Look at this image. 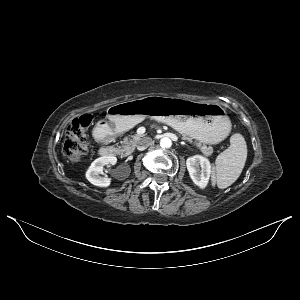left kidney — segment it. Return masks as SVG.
<instances>
[{
	"instance_id": "obj_1",
	"label": "left kidney",
	"mask_w": 300,
	"mask_h": 300,
	"mask_svg": "<svg viewBox=\"0 0 300 300\" xmlns=\"http://www.w3.org/2000/svg\"><path fill=\"white\" fill-rule=\"evenodd\" d=\"M186 165L192 181L200 188H205L211 174L210 161L206 157L195 155L187 159Z\"/></svg>"
}]
</instances>
